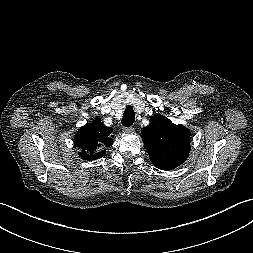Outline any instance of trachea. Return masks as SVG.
I'll use <instances>...</instances> for the list:
<instances>
[{
	"label": "trachea",
	"instance_id": "1",
	"mask_svg": "<svg viewBox=\"0 0 253 253\" xmlns=\"http://www.w3.org/2000/svg\"><path fill=\"white\" fill-rule=\"evenodd\" d=\"M135 121V112L132 106H127L123 118H122V125L124 127H130Z\"/></svg>",
	"mask_w": 253,
	"mask_h": 253
}]
</instances>
